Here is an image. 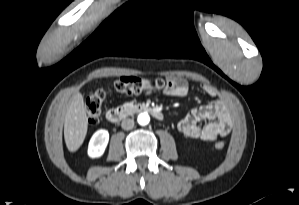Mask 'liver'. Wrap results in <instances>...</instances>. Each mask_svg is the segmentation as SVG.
Masks as SVG:
<instances>
[{
	"label": "liver",
	"instance_id": "1",
	"mask_svg": "<svg viewBox=\"0 0 299 205\" xmlns=\"http://www.w3.org/2000/svg\"><path fill=\"white\" fill-rule=\"evenodd\" d=\"M87 119L83 96L76 92L64 118V139L70 152L78 150L84 142L88 129Z\"/></svg>",
	"mask_w": 299,
	"mask_h": 205
}]
</instances>
